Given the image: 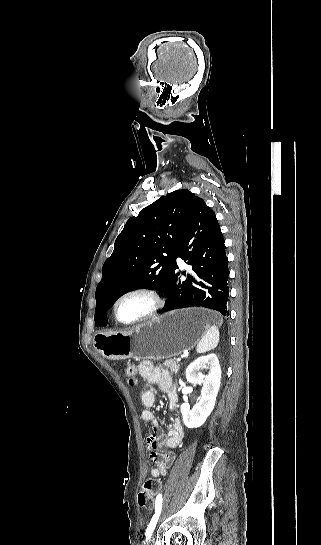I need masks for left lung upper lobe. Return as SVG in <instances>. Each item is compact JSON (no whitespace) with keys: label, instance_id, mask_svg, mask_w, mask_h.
I'll list each match as a JSON object with an SVG mask.
<instances>
[{"label":"left lung upper lobe","instance_id":"obj_1","mask_svg":"<svg viewBox=\"0 0 321 545\" xmlns=\"http://www.w3.org/2000/svg\"><path fill=\"white\" fill-rule=\"evenodd\" d=\"M189 190H176L131 217L105 261L95 298V325L123 294L138 288L162 289L170 279L175 252L198 204ZM167 255V256H166Z\"/></svg>","mask_w":321,"mask_h":545}]
</instances>
